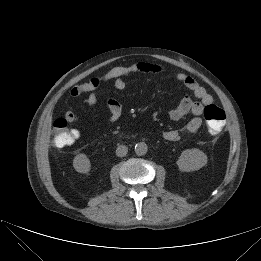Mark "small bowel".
Instances as JSON below:
<instances>
[{
	"label": "small bowel",
	"instance_id": "c3829d8e",
	"mask_svg": "<svg viewBox=\"0 0 261 261\" xmlns=\"http://www.w3.org/2000/svg\"><path fill=\"white\" fill-rule=\"evenodd\" d=\"M162 70L163 68L161 66L149 62H137L130 65L114 67L101 77H93L86 82L73 86L70 90V95L72 97H79L86 94V102L90 106H96L98 104L97 91L103 83L113 81L116 89L124 90L126 88V79L129 76L159 73ZM176 79L191 91L197 100H193L187 96L183 98L175 108L170 110L169 116L174 121L181 120L188 114L193 115L182 127L170 129L163 133V138L170 142L179 140L182 133L196 132L202 125L201 115L203 114L204 108L213 102V97L193 77L185 73H177ZM106 106L109 111V122L117 121L122 114L121 104L113 98H108L106 100ZM65 119L69 123H77L80 117L74 111L68 110L65 113Z\"/></svg>",
	"mask_w": 261,
	"mask_h": 261
}]
</instances>
